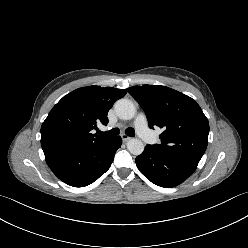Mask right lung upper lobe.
Returning a JSON list of instances; mask_svg holds the SVG:
<instances>
[{"mask_svg": "<svg viewBox=\"0 0 248 248\" xmlns=\"http://www.w3.org/2000/svg\"><path fill=\"white\" fill-rule=\"evenodd\" d=\"M125 94V89L88 86L65 95L41 126L43 151L84 149L110 140L91 131L98 123H108V111Z\"/></svg>", "mask_w": 248, "mask_h": 248, "instance_id": "obj_1", "label": "right lung upper lobe"}]
</instances>
